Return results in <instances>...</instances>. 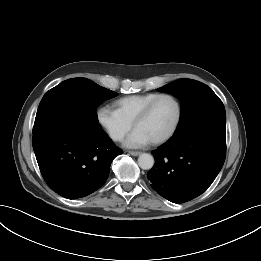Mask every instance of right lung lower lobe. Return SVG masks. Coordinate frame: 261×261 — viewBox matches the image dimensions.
Wrapping results in <instances>:
<instances>
[{
  "label": "right lung lower lobe",
  "instance_id": "obj_1",
  "mask_svg": "<svg viewBox=\"0 0 261 261\" xmlns=\"http://www.w3.org/2000/svg\"><path fill=\"white\" fill-rule=\"evenodd\" d=\"M33 149L49 187L67 199L87 196L107 180L122 154L102 129L55 124L33 132Z\"/></svg>",
  "mask_w": 261,
  "mask_h": 261
}]
</instances>
